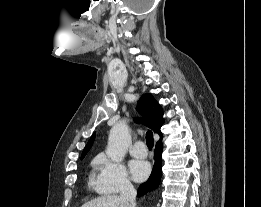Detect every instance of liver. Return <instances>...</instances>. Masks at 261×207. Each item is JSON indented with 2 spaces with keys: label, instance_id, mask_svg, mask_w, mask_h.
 <instances>
[{
  "label": "liver",
  "instance_id": "obj_1",
  "mask_svg": "<svg viewBox=\"0 0 261 207\" xmlns=\"http://www.w3.org/2000/svg\"><path fill=\"white\" fill-rule=\"evenodd\" d=\"M81 207H130V204L117 195H104L83 204Z\"/></svg>",
  "mask_w": 261,
  "mask_h": 207
}]
</instances>
